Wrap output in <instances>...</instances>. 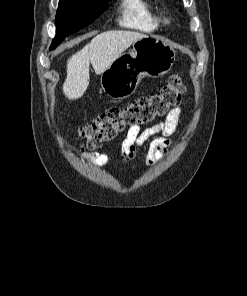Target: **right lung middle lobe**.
I'll list each match as a JSON object with an SVG mask.
<instances>
[{"label": "right lung middle lobe", "mask_w": 247, "mask_h": 296, "mask_svg": "<svg viewBox=\"0 0 247 296\" xmlns=\"http://www.w3.org/2000/svg\"><path fill=\"white\" fill-rule=\"evenodd\" d=\"M110 0H60L56 14L57 35L50 50L66 36L89 25L107 9Z\"/></svg>", "instance_id": "obj_1"}]
</instances>
